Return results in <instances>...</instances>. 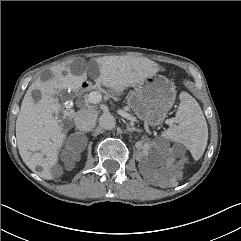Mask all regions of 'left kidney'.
Returning <instances> with one entry per match:
<instances>
[{"mask_svg":"<svg viewBox=\"0 0 241 241\" xmlns=\"http://www.w3.org/2000/svg\"><path fill=\"white\" fill-rule=\"evenodd\" d=\"M151 148H156V149H158V147H157L155 144H149L147 150L150 151Z\"/></svg>","mask_w":241,"mask_h":241,"instance_id":"5707ae66","label":"left kidney"}]
</instances>
